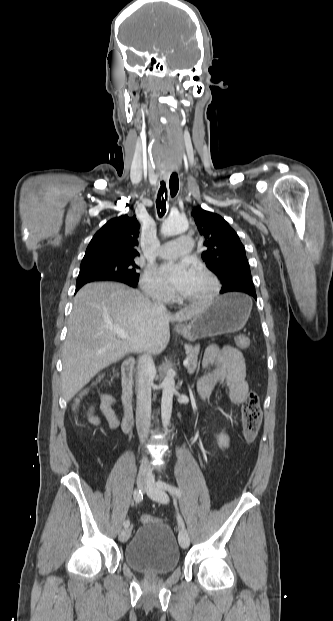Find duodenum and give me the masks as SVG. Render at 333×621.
Instances as JSON below:
<instances>
[{
	"instance_id": "duodenum-1",
	"label": "duodenum",
	"mask_w": 333,
	"mask_h": 621,
	"mask_svg": "<svg viewBox=\"0 0 333 621\" xmlns=\"http://www.w3.org/2000/svg\"><path fill=\"white\" fill-rule=\"evenodd\" d=\"M135 361L131 358L126 359L122 364V429L126 433H130L134 427V418L132 411L133 396V370Z\"/></svg>"
}]
</instances>
